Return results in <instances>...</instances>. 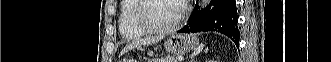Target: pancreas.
Listing matches in <instances>:
<instances>
[{
    "mask_svg": "<svg viewBox=\"0 0 331 62\" xmlns=\"http://www.w3.org/2000/svg\"><path fill=\"white\" fill-rule=\"evenodd\" d=\"M154 62H176V59L174 57H164V58H156Z\"/></svg>",
    "mask_w": 331,
    "mask_h": 62,
    "instance_id": "obj_1",
    "label": "pancreas"
}]
</instances>
